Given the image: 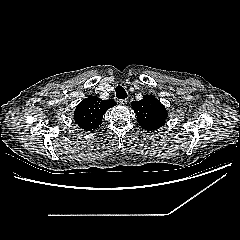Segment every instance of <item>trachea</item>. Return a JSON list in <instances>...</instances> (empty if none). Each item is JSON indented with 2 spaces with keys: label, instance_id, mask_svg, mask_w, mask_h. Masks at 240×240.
Returning <instances> with one entry per match:
<instances>
[{
  "label": "trachea",
  "instance_id": "3493384b",
  "mask_svg": "<svg viewBox=\"0 0 240 240\" xmlns=\"http://www.w3.org/2000/svg\"><path fill=\"white\" fill-rule=\"evenodd\" d=\"M115 92L117 98L119 99L127 98V93L125 92V89L122 86H117Z\"/></svg>",
  "mask_w": 240,
  "mask_h": 240
}]
</instances>
